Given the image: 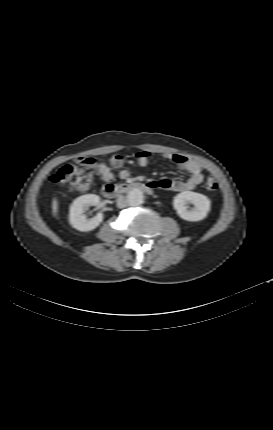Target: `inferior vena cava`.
Masks as SVG:
<instances>
[{
	"mask_svg": "<svg viewBox=\"0 0 273 430\" xmlns=\"http://www.w3.org/2000/svg\"><path fill=\"white\" fill-rule=\"evenodd\" d=\"M117 206L119 208H124L127 206V200L125 199V197L121 196L117 199Z\"/></svg>",
	"mask_w": 273,
	"mask_h": 430,
	"instance_id": "602c4592",
	"label": "inferior vena cava"
}]
</instances>
